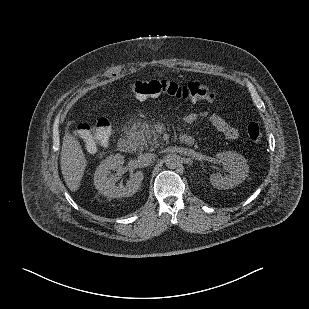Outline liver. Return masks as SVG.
Instances as JSON below:
<instances>
[{
	"mask_svg": "<svg viewBox=\"0 0 309 309\" xmlns=\"http://www.w3.org/2000/svg\"><path fill=\"white\" fill-rule=\"evenodd\" d=\"M60 161L66 185L71 191H76L80 186L87 161L78 140L70 134H65L63 138Z\"/></svg>",
	"mask_w": 309,
	"mask_h": 309,
	"instance_id": "liver-1",
	"label": "liver"
}]
</instances>
